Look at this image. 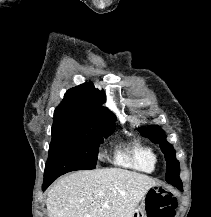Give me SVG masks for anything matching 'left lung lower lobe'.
<instances>
[{"label":"left lung lower lobe","instance_id":"obj_1","mask_svg":"<svg viewBox=\"0 0 211 217\" xmlns=\"http://www.w3.org/2000/svg\"><path fill=\"white\" fill-rule=\"evenodd\" d=\"M178 189H180L181 191L183 190V188H182V187H178Z\"/></svg>","mask_w":211,"mask_h":217}]
</instances>
